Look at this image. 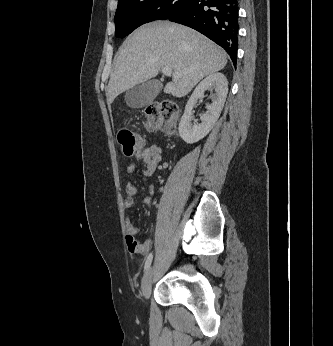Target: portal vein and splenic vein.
Wrapping results in <instances>:
<instances>
[{
  "mask_svg": "<svg viewBox=\"0 0 333 346\" xmlns=\"http://www.w3.org/2000/svg\"><path fill=\"white\" fill-rule=\"evenodd\" d=\"M162 73L165 76H172L173 78H178L179 75L177 73H174L170 67H163L162 68Z\"/></svg>",
  "mask_w": 333,
  "mask_h": 346,
  "instance_id": "1",
  "label": "portal vein and splenic vein"
}]
</instances>
